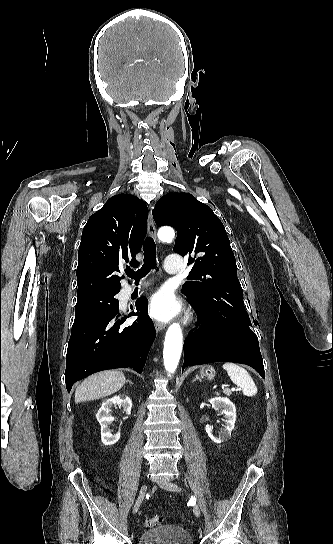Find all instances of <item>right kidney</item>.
<instances>
[{"instance_id":"right-kidney-1","label":"right kidney","mask_w":333,"mask_h":544,"mask_svg":"<svg viewBox=\"0 0 333 544\" xmlns=\"http://www.w3.org/2000/svg\"><path fill=\"white\" fill-rule=\"evenodd\" d=\"M116 405L122 407L127 415L131 413L132 401L127 396L125 398L114 396L102 403L96 414V418L101 425V441L104 445H113L120 438V432L112 434L108 428V426L114 421V418L110 416L111 408Z\"/></svg>"}]
</instances>
